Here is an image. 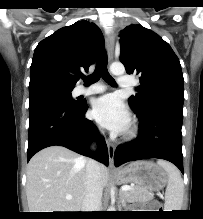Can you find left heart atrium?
<instances>
[{"label": "left heart atrium", "mask_w": 203, "mask_h": 219, "mask_svg": "<svg viewBox=\"0 0 203 219\" xmlns=\"http://www.w3.org/2000/svg\"><path fill=\"white\" fill-rule=\"evenodd\" d=\"M92 116L102 126L121 132L130 122V116L121 99L114 94H107L95 100Z\"/></svg>", "instance_id": "left-heart-atrium-1"}]
</instances>
